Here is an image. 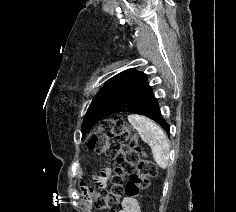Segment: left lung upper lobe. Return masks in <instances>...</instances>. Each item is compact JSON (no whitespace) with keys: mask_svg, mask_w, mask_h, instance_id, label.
Returning a JSON list of instances; mask_svg holds the SVG:
<instances>
[{"mask_svg":"<svg viewBox=\"0 0 236 212\" xmlns=\"http://www.w3.org/2000/svg\"><path fill=\"white\" fill-rule=\"evenodd\" d=\"M135 69L125 70L111 79H109L102 89L96 94L92 100L87 113L84 117L81 131L84 136L89 129L99 120L101 114L114 99V97L120 92L125 82L131 77Z\"/></svg>","mask_w":236,"mask_h":212,"instance_id":"left-lung-upper-lobe-1","label":"left lung upper lobe"}]
</instances>
